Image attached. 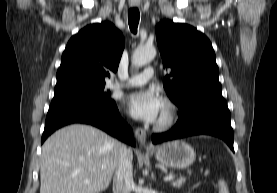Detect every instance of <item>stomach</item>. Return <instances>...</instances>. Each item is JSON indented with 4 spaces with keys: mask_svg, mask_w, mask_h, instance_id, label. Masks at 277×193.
Segmentation results:
<instances>
[{
    "mask_svg": "<svg viewBox=\"0 0 277 193\" xmlns=\"http://www.w3.org/2000/svg\"><path fill=\"white\" fill-rule=\"evenodd\" d=\"M158 162L170 167L181 169L190 166L196 158L191 145L183 140H173L151 150Z\"/></svg>",
    "mask_w": 277,
    "mask_h": 193,
    "instance_id": "stomach-1",
    "label": "stomach"
}]
</instances>
